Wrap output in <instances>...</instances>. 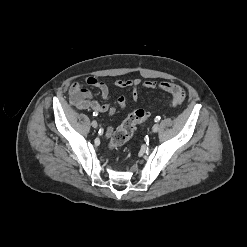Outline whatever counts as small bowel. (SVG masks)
<instances>
[{
	"label": "small bowel",
	"instance_id": "c3829d8e",
	"mask_svg": "<svg viewBox=\"0 0 247 247\" xmlns=\"http://www.w3.org/2000/svg\"><path fill=\"white\" fill-rule=\"evenodd\" d=\"M84 82L90 87L99 89L103 99L109 98V85L104 81L95 77H87L84 79ZM113 85L121 88H131V98L133 102H137L138 100V89L140 87L148 89L159 88L169 93L172 97L170 105L173 108L179 107L185 99L184 89L180 85L168 81L158 82L155 80H142L140 78L128 80L117 79L113 81ZM69 99L70 103L79 110H94L95 112L107 113L109 115L114 114L117 110V108L111 103L100 104L93 98L92 93L79 82H75L70 86ZM126 103V97L120 96L118 99V109H124ZM111 133L112 129L108 128L107 135H110Z\"/></svg>",
	"mask_w": 247,
	"mask_h": 247
}]
</instances>
